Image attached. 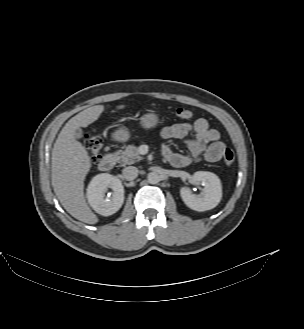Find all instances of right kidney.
I'll list each match as a JSON object with an SVG mask.
<instances>
[{
  "label": "right kidney",
  "instance_id": "ca27d5eb",
  "mask_svg": "<svg viewBox=\"0 0 304 329\" xmlns=\"http://www.w3.org/2000/svg\"><path fill=\"white\" fill-rule=\"evenodd\" d=\"M113 190L112 197L107 199V189ZM87 199L93 210L103 216L116 213L124 202V187L117 177L108 173L96 175L87 188Z\"/></svg>",
  "mask_w": 304,
  "mask_h": 329
}]
</instances>
